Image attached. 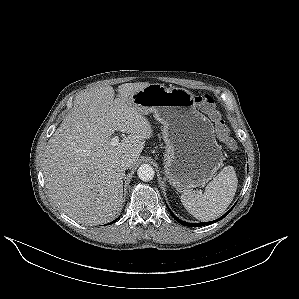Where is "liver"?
<instances>
[{
	"label": "liver",
	"mask_w": 299,
	"mask_h": 299,
	"mask_svg": "<svg viewBox=\"0 0 299 299\" xmlns=\"http://www.w3.org/2000/svg\"><path fill=\"white\" fill-rule=\"evenodd\" d=\"M150 85L125 83L118 98L111 86L78 94L74 106L49 139L42 166L45 186L60 210L79 223L98 225L114 220L123 208L128 156L134 165L152 135V128L132 101ZM115 131L129 134L111 146Z\"/></svg>",
	"instance_id": "1"
}]
</instances>
